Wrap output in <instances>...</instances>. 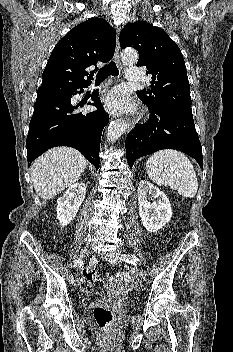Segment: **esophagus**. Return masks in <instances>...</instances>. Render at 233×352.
Returning a JSON list of instances; mask_svg holds the SVG:
<instances>
[{
    "label": "esophagus",
    "instance_id": "1",
    "mask_svg": "<svg viewBox=\"0 0 233 352\" xmlns=\"http://www.w3.org/2000/svg\"><path fill=\"white\" fill-rule=\"evenodd\" d=\"M115 60L118 65H121V57H120V45H119V30L117 31V43H116V50H115ZM134 125L132 120H129L127 123V128L130 130Z\"/></svg>",
    "mask_w": 233,
    "mask_h": 352
}]
</instances>
